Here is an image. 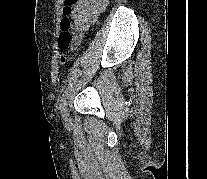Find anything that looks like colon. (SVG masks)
Segmentation results:
<instances>
[{"label":"colon","mask_w":207,"mask_h":179,"mask_svg":"<svg viewBox=\"0 0 207 179\" xmlns=\"http://www.w3.org/2000/svg\"><path fill=\"white\" fill-rule=\"evenodd\" d=\"M80 0H64L62 8L63 17L60 20V33L57 39L58 46L61 50L68 49L73 43V36L70 32L71 19L74 8L78 5ZM64 63V58H61V64Z\"/></svg>","instance_id":"colon-1"}]
</instances>
